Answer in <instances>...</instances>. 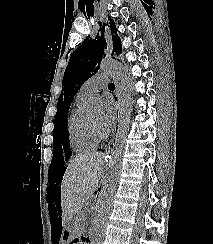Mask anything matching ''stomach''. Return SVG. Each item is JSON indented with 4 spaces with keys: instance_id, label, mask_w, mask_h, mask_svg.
<instances>
[{
    "instance_id": "obj_1",
    "label": "stomach",
    "mask_w": 213,
    "mask_h": 244,
    "mask_svg": "<svg viewBox=\"0 0 213 244\" xmlns=\"http://www.w3.org/2000/svg\"><path fill=\"white\" fill-rule=\"evenodd\" d=\"M76 221H65L63 223V239L59 240L60 244H71V239H77L78 229H76Z\"/></svg>"
}]
</instances>
